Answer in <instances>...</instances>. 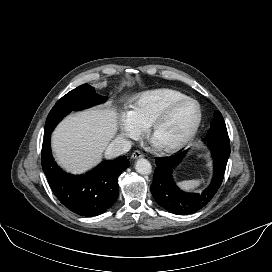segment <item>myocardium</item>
<instances>
[{
    "label": "myocardium",
    "instance_id": "obj_1",
    "mask_svg": "<svg viewBox=\"0 0 272 272\" xmlns=\"http://www.w3.org/2000/svg\"><path fill=\"white\" fill-rule=\"evenodd\" d=\"M186 102H192L197 106V118L192 126L190 132L186 135L184 139L181 141L174 143V144H160L156 141V135L160 127L164 124V122L168 119V117L171 115V113L181 104ZM202 122V108L200 103L191 97H183L180 99H177L173 102H171L169 105H167L160 114L154 119V121L149 126V138L151 142L154 144V146L164 153H176L178 151H181L182 149L186 148L191 144V142L194 140L200 125Z\"/></svg>",
    "mask_w": 272,
    "mask_h": 272
}]
</instances>
